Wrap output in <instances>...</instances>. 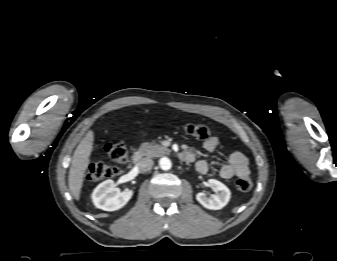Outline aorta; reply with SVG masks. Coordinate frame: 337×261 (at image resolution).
<instances>
[{
  "label": "aorta",
  "instance_id": "1",
  "mask_svg": "<svg viewBox=\"0 0 337 261\" xmlns=\"http://www.w3.org/2000/svg\"><path fill=\"white\" fill-rule=\"evenodd\" d=\"M159 165L162 170H169L172 167L171 160L167 157H163L159 160Z\"/></svg>",
  "mask_w": 337,
  "mask_h": 261
}]
</instances>
